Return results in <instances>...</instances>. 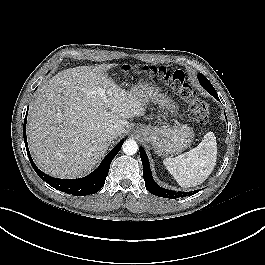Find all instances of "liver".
Listing matches in <instances>:
<instances>
[{
    "label": "liver",
    "instance_id": "obj_1",
    "mask_svg": "<svg viewBox=\"0 0 265 265\" xmlns=\"http://www.w3.org/2000/svg\"><path fill=\"white\" fill-rule=\"evenodd\" d=\"M114 66L63 70L38 90L27 137L33 159L45 173L70 179L91 171L111 144L107 130L115 129L118 138L129 127L128 119L144 115L141 100L109 77Z\"/></svg>",
    "mask_w": 265,
    "mask_h": 265
}]
</instances>
